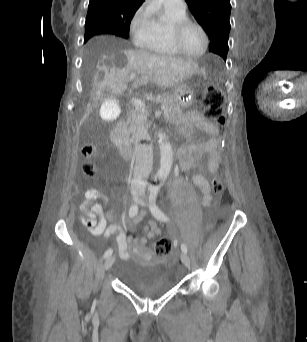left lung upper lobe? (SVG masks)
Returning a JSON list of instances; mask_svg holds the SVG:
<instances>
[{"instance_id": "5c2ea615", "label": "left lung upper lobe", "mask_w": 307, "mask_h": 342, "mask_svg": "<svg viewBox=\"0 0 307 342\" xmlns=\"http://www.w3.org/2000/svg\"><path fill=\"white\" fill-rule=\"evenodd\" d=\"M197 22L209 35V51L226 60L230 32L229 0H185Z\"/></svg>"}]
</instances>
